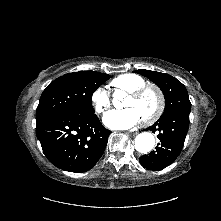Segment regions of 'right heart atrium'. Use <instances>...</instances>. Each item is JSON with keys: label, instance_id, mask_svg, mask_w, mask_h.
Returning a JSON list of instances; mask_svg holds the SVG:
<instances>
[{"label": "right heart atrium", "instance_id": "d8ad5b80", "mask_svg": "<svg viewBox=\"0 0 221 221\" xmlns=\"http://www.w3.org/2000/svg\"><path fill=\"white\" fill-rule=\"evenodd\" d=\"M91 103L97 114H103L110 108L111 99L107 91L103 87H99L93 92Z\"/></svg>", "mask_w": 221, "mask_h": 221}]
</instances>
